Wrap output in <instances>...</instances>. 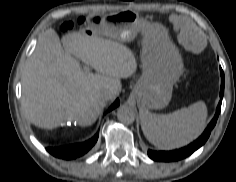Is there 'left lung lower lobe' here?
I'll list each match as a JSON object with an SVG mask.
<instances>
[{"instance_id":"obj_1","label":"left lung lower lobe","mask_w":236,"mask_h":182,"mask_svg":"<svg viewBox=\"0 0 236 182\" xmlns=\"http://www.w3.org/2000/svg\"><path fill=\"white\" fill-rule=\"evenodd\" d=\"M220 73H221V90H220V102L217 106L216 114L213 118V120L210 122L209 126L205 129L203 134L193 143L188 145L187 147L181 148L179 150L174 151H152L148 150V156L156 161H177L180 159H183L189 155H191L194 151H196L199 147H201L210 136L211 130L216 124L217 118L219 116L220 110H221V103L222 98L224 94V73L222 68L220 67Z\"/></svg>"}]
</instances>
